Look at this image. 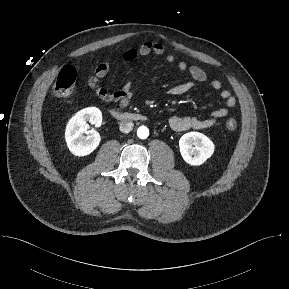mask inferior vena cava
I'll list each match as a JSON object with an SVG mask.
<instances>
[{
	"label": "inferior vena cava",
	"instance_id": "602c4592",
	"mask_svg": "<svg viewBox=\"0 0 289 289\" xmlns=\"http://www.w3.org/2000/svg\"><path fill=\"white\" fill-rule=\"evenodd\" d=\"M133 127H134V124L132 121L123 120L120 122L119 129L123 133H129L130 131H132Z\"/></svg>",
	"mask_w": 289,
	"mask_h": 289
}]
</instances>
